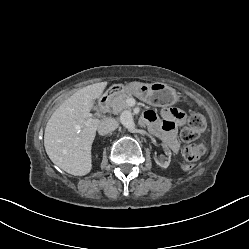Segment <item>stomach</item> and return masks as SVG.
I'll return each mask as SVG.
<instances>
[{
  "label": "stomach",
  "instance_id": "1",
  "mask_svg": "<svg viewBox=\"0 0 249 249\" xmlns=\"http://www.w3.org/2000/svg\"><path fill=\"white\" fill-rule=\"evenodd\" d=\"M109 92L112 94L129 93L154 107L173 105L179 99L177 92L173 88L160 82L151 84L142 82H130L126 85L116 84L109 87Z\"/></svg>",
  "mask_w": 249,
  "mask_h": 249
}]
</instances>
